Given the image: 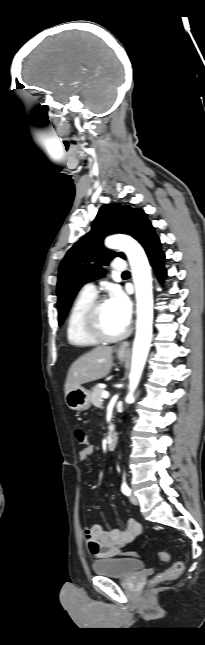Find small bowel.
Returning <instances> with one entry per match:
<instances>
[{
    "mask_svg": "<svg viewBox=\"0 0 205 645\" xmlns=\"http://www.w3.org/2000/svg\"><path fill=\"white\" fill-rule=\"evenodd\" d=\"M94 452V446L90 445L79 452V459L85 461ZM141 532V524L135 519L130 518L124 527H115L110 531H105L98 523L93 524L85 528L84 535L89 553L97 559H103L120 555V547L131 542Z\"/></svg>",
    "mask_w": 205,
    "mask_h": 645,
    "instance_id": "small-bowel-1",
    "label": "small bowel"
}]
</instances>
